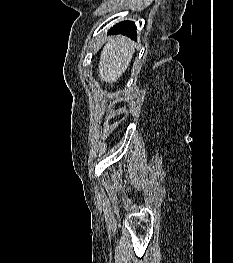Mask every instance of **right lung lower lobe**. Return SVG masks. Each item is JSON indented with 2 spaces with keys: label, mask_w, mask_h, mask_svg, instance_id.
<instances>
[{
  "label": "right lung lower lobe",
  "mask_w": 233,
  "mask_h": 263,
  "mask_svg": "<svg viewBox=\"0 0 233 263\" xmlns=\"http://www.w3.org/2000/svg\"><path fill=\"white\" fill-rule=\"evenodd\" d=\"M136 26L134 22L131 21H124L119 23L118 25L114 26L109 33L110 34H122L127 35L133 39H136Z\"/></svg>",
  "instance_id": "1"
}]
</instances>
